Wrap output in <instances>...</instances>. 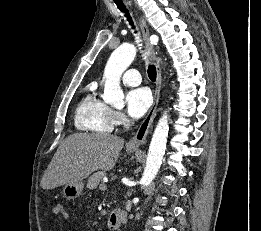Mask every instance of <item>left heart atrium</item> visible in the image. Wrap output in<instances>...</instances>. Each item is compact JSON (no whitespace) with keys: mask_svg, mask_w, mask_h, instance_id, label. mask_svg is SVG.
Instances as JSON below:
<instances>
[{"mask_svg":"<svg viewBox=\"0 0 261 231\" xmlns=\"http://www.w3.org/2000/svg\"><path fill=\"white\" fill-rule=\"evenodd\" d=\"M126 110L132 118L143 116L152 104L150 91L145 87L131 89L126 94Z\"/></svg>","mask_w":261,"mask_h":231,"instance_id":"1","label":"left heart atrium"}]
</instances>
